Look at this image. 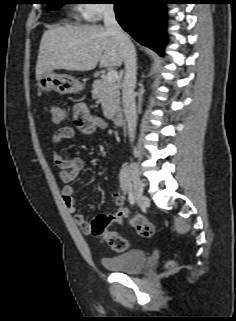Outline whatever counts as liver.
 <instances>
[{
	"label": "liver",
	"mask_w": 236,
	"mask_h": 321,
	"mask_svg": "<svg viewBox=\"0 0 236 321\" xmlns=\"http://www.w3.org/2000/svg\"><path fill=\"white\" fill-rule=\"evenodd\" d=\"M120 67L125 52L114 34L101 25L59 26L44 32L36 64V79L53 70L89 71Z\"/></svg>",
	"instance_id": "6515ba94"
}]
</instances>
